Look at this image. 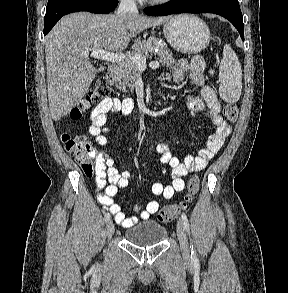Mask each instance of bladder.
Listing matches in <instances>:
<instances>
[{"instance_id": "31cf9c89", "label": "bladder", "mask_w": 288, "mask_h": 293, "mask_svg": "<svg viewBox=\"0 0 288 293\" xmlns=\"http://www.w3.org/2000/svg\"><path fill=\"white\" fill-rule=\"evenodd\" d=\"M125 239L137 246H151L165 240L167 229L160 223L147 220L126 229Z\"/></svg>"}]
</instances>
